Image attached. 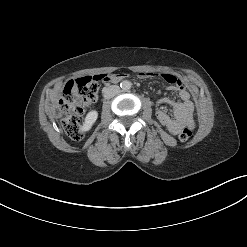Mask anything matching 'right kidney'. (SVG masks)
Masks as SVG:
<instances>
[{
    "instance_id": "obj_1",
    "label": "right kidney",
    "mask_w": 247,
    "mask_h": 247,
    "mask_svg": "<svg viewBox=\"0 0 247 247\" xmlns=\"http://www.w3.org/2000/svg\"><path fill=\"white\" fill-rule=\"evenodd\" d=\"M97 117H98V112L96 110L90 111L84 119L81 130L82 131H89L91 129V127L93 126V124L96 122Z\"/></svg>"
}]
</instances>
